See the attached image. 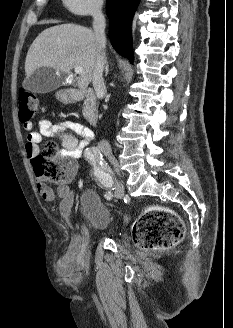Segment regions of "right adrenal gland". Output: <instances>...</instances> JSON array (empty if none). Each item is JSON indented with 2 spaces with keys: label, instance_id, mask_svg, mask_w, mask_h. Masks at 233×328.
I'll use <instances>...</instances> for the list:
<instances>
[{
  "label": "right adrenal gland",
  "instance_id": "right-adrenal-gland-1",
  "mask_svg": "<svg viewBox=\"0 0 233 328\" xmlns=\"http://www.w3.org/2000/svg\"><path fill=\"white\" fill-rule=\"evenodd\" d=\"M108 73H109V64H108V62L106 61L105 76H107Z\"/></svg>",
  "mask_w": 233,
  "mask_h": 328
}]
</instances>
